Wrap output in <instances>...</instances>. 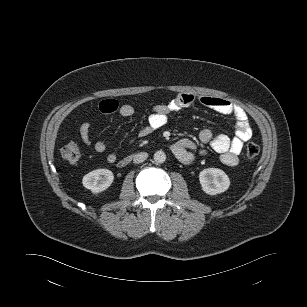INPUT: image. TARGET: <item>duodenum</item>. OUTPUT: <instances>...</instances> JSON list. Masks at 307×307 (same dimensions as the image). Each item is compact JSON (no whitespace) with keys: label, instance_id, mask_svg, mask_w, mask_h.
<instances>
[{"label":"duodenum","instance_id":"duodenum-1","mask_svg":"<svg viewBox=\"0 0 307 307\" xmlns=\"http://www.w3.org/2000/svg\"><path fill=\"white\" fill-rule=\"evenodd\" d=\"M129 161H130V156H127V157L123 158V159L120 161V165L124 166V165H126Z\"/></svg>","mask_w":307,"mask_h":307}]
</instances>
